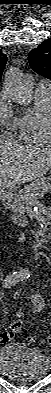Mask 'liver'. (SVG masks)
Masks as SVG:
<instances>
[{
  "instance_id": "6515ba94",
  "label": "liver",
  "mask_w": 51,
  "mask_h": 393,
  "mask_svg": "<svg viewBox=\"0 0 51 393\" xmlns=\"http://www.w3.org/2000/svg\"><path fill=\"white\" fill-rule=\"evenodd\" d=\"M51 168V147L0 140V187L12 188L44 176Z\"/></svg>"
}]
</instances>
